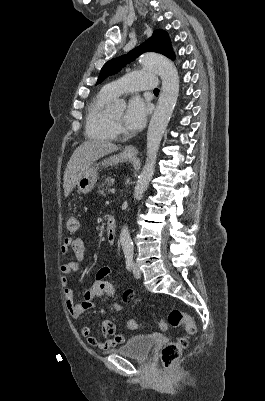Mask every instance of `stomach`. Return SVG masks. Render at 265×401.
Listing matches in <instances>:
<instances>
[{
  "mask_svg": "<svg viewBox=\"0 0 265 401\" xmlns=\"http://www.w3.org/2000/svg\"><path fill=\"white\" fill-rule=\"evenodd\" d=\"M136 156L133 154H128V152H119V154H113V156H109V158H104L101 162H94V164H90L89 168L85 170L84 174H82L81 178L77 180L78 188L80 192L83 194H87L92 190L93 186H95L98 178V170L101 166H112V164H118V162H132Z\"/></svg>",
  "mask_w": 265,
  "mask_h": 401,
  "instance_id": "stomach-1",
  "label": "stomach"
}]
</instances>
